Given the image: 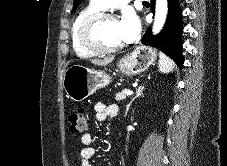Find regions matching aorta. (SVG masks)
Returning <instances> with one entry per match:
<instances>
[{"label":"aorta","instance_id":"aorta-1","mask_svg":"<svg viewBox=\"0 0 227 166\" xmlns=\"http://www.w3.org/2000/svg\"><path fill=\"white\" fill-rule=\"evenodd\" d=\"M167 13H168L167 0H156L153 34H157L161 31L166 21Z\"/></svg>","mask_w":227,"mask_h":166}]
</instances>
